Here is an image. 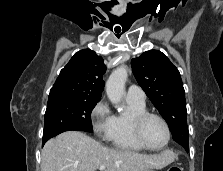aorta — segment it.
<instances>
[{
    "mask_svg": "<svg viewBox=\"0 0 223 171\" xmlns=\"http://www.w3.org/2000/svg\"><path fill=\"white\" fill-rule=\"evenodd\" d=\"M127 77V69L124 66H120L111 73L106 82L107 97L118 110H123V107L119 106V104L125 95Z\"/></svg>",
    "mask_w": 223,
    "mask_h": 171,
    "instance_id": "aorta-1",
    "label": "aorta"
}]
</instances>
